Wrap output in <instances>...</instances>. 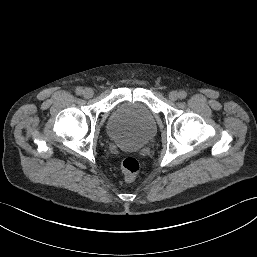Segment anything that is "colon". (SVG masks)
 Instances as JSON below:
<instances>
[{
    "label": "colon",
    "instance_id": "obj_1",
    "mask_svg": "<svg viewBox=\"0 0 257 257\" xmlns=\"http://www.w3.org/2000/svg\"><path fill=\"white\" fill-rule=\"evenodd\" d=\"M121 170L125 180L131 182L139 170V163L135 158L128 157L123 160Z\"/></svg>",
    "mask_w": 257,
    "mask_h": 257
}]
</instances>
